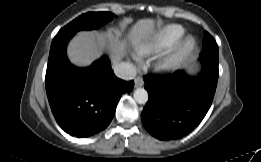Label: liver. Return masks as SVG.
Wrapping results in <instances>:
<instances>
[{
    "mask_svg": "<svg viewBox=\"0 0 261 162\" xmlns=\"http://www.w3.org/2000/svg\"><path fill=\"white\" fill-rule=\"evenodd\" d=\"M154 25L153 19L138 20L131 28L128 40L134 44L146 41L153 34ZM126 45V41L120 39V34L117 31H81L70 42L67 54L74 65L88 66L107 48L115 65L126 54Z\"/></svg>",
    "mask_w": 261,
    "mask_h": 162,
    "instance_id": "1",
    "label": "liver"
}]
</instances>
